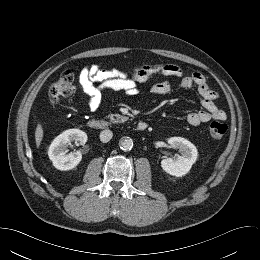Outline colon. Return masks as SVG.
Listing matches in <instances>:
<instances>
[{
  "mask_svg": "<svg viewBox=\"0 0 260 260\" xmlns=\"http://www.w3.org/2000/svg\"><path fill=\"white\" fill-rule=\"evenodd\" d=\"M74 74L67 70L52 82L49 87V97L53 104L59 103L75 93ZM227 132V125L222 122H213L209 126V135L214 140L221 139Z\"/></svg>",
  "mask_w": 260,
  "mask_h": 260,
  "instance_id": "5ec220e1",
  "label": "colon"
}]
</instances>
